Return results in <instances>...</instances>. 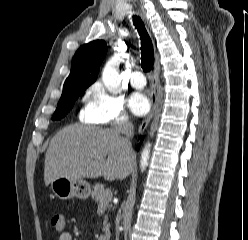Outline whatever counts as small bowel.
<instances>
[{"label":"small bowel","instance_id":"c3829d8e","mask_svg":"<svg viewBox=\"0 0 248 240\" xmlns=\"http://www.w3.org/2000/svg\"><path fill=\"white\" fill-rule=\"evenodd\" d=\"M58 240H73V236L70 232L64 231L59 235Z\"/></svg>","mask_w":248,"mask_h":240}]
</instances>
